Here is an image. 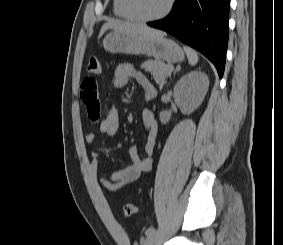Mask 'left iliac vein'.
<instances>
[{
    "instance_id": "left-iliac-vein-1",
    "label": "left iliac vein",
    "mask_w": 283,
    "mask_h": 245,
    "mask_svg": "<svg viewBox=\"0 0 283 245\" xmlns=\"http://www.w3.org/2000/svg\"><path fill=\"white\" fill-rule=\"evenodd\" d=\"M158 236V232L152 233L143 241L142 245H154L156 240L158 239Z\"/></svg>"
}]
</instances>
